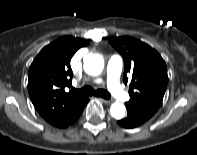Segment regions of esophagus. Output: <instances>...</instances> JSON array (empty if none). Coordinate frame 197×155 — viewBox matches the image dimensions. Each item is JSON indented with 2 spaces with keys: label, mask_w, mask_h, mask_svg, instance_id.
<instances>
[{
  "label": "esophagus",
  "mask_w": 197,
  "mask_h": 155,
  "mask_svg": "<svg viewBox=\"0 0 197 155\" xmlns=\"http://www.w3.org/2000/svg\"><path fill=\"white\" fill-rule=\"evenodd\" d=\"M99 100L105 104H109L110 101L109 100H106V99H103V98H99Z\"/></svg>",
  "instance_id": "34e87169"
}]
</instances>
